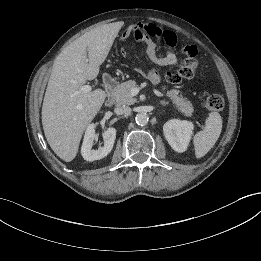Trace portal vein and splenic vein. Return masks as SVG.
Segmentation results:
<instances>
[{
  "mask_svg": "<svg viewBox=\"0 0 261 261\" xmlns=\"http://www.w3.org/2000/svg\"><path fill=\"white\" fill-rule=\"evenodd\" d=\"M91 89H92V87H91L90 85H83V86L81 87V91H83V92H89V91H91ZM138 92H139L138 88H133V89L131 90V95H132V96H135V95L138 94Z\"/></svg>",
  "mask_w": 261,
  "mask_h": 261,
  "instance_id": "1",
  "label": "portal vein and splenic vein"
}]
</instances>
